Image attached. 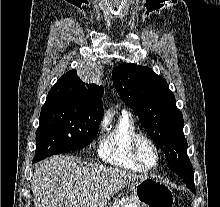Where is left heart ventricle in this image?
Instances as JSON below:
<instances>
[{
	"instance_id": "b2bd125f",
	"label": "left heart ventricle",
	"mask_w": 220,
	"mask_h": 207,
	"mask_svg": "<svg viewBox=\"0 0 220 207\" xmlns=\"http://www.w3.org/2000/svg\"><path fill=\"white\" fill-rule=\"evenodd\" d=\"M140 153L146 164L152 165L155 160V153L152 147L145 141H142L140 144Z\"/></svg>"
}]
</instances>
